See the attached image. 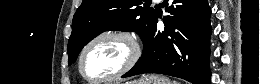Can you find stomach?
I'll return each instance as SVG.
<instances>
[{"mask_svg": "<svg viewBox=\"0 0 260 84\" xmlns=\"http://www.w3.org/2000/svg\"><path fill=\"white\" fill-rule=\"evenodd\" d=\"M124 84H171L170 80L161 74H147L141 78L133 81L126 82Z\"/></svg>", "mask_w": 260, "mask_h": 84, "instance_id": "1", "label": "stomach"}]
</instances>
